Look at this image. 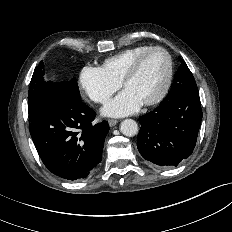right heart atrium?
Segmentation results:
<instances>
[{"instance_id": "obj_1", "label": "right heart atrium", "mask_w": 232, "mask_h": 232, "mask_svg": "<svg viewBox=\"0 0 232 232\" xmlns=\"http://www.w3.org/2000/svg\"><path fill=\"white\" fill-rule=\"evenodd\" d=\"M79 84L86 96L96 103H105L118 89L101 67L85 66L79 75Z\"/></svg>"}]
</instances>
